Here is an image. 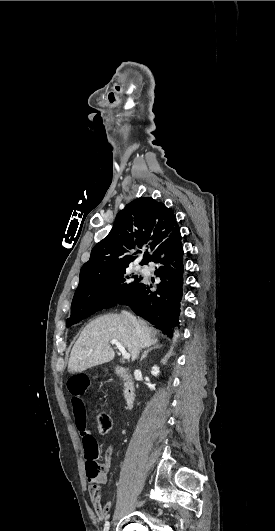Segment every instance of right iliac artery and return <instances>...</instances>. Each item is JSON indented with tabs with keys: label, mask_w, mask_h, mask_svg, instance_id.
Listing matches in <instances>:
<instances>
[{
	"label": "right iliac artery",
	"mask_w": 275,
	"mask_h": 531,
	"mask_svg": "<svg viewBox=\"0 0 275 531\" xmlns=\"http://www.w3.org/2000/svg\"><path fill=\"white\" fill-rule=\"evenodd\" d=\"M104 531H109V522L108 521L104 525Z\"/></svg>",
	"instance_id": "82829eb1"
}]
</instances>
